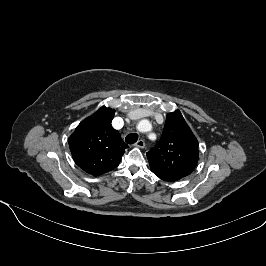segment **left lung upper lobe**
I'll return each mask as SVG.
<instances>
[{"instance_id":"left-lung-upper-lobe-1","label":"left lung upper lobe","mask_w":266,"mask_h":266,"mask_svg":"<svg viewBox=\"0 0 266 266\" xmlns=\"http://www.w3.org/2000/svg\"><path fill=\"white\" fill-rule=\"evenodd\" d=\"M198 156V141L181 112L169 113L160 141L147 153L151 171L164 181H177L193 172Z\"/></svg>"}]
</instances>
